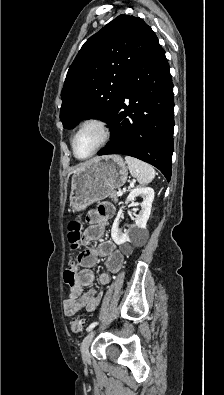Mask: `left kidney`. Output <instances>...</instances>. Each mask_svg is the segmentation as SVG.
Segmentation results:
<instances>
[{
	"instance_id": "5707ae66",
	"label": "left kidney",
	"mask_w": 224,
	"mask_h": 395,
	"mask_svg": "<svg viewBox=\"0 0 224 395\" xmlns=\"http://www.w3.org/2000/svg\"><path fill=\"white\" fill-rule=\"evenodd\" d=\"M138 196L143 197V201L141 203L142 210L140 214L136 217L134 225L131 226L127 231H119V220L122 214V209L124 207L119 210L117 217L113 222L111 237L117 245H122L125 242L130 241V239L138 238L139 236H141L143 230L146 228V223L151 213L152 202L154 200V190L151 187H136L129 193L125 204L133 201Z\"/></svg>"
}]
</instances>
